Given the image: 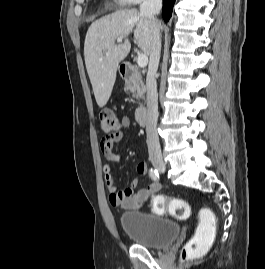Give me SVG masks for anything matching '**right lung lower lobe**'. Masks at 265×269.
<instances>
[{
	"instance_id": "98d812e1",
	"label": "right lung lower lobe",
	"mask_w": 265,
	"mask_h": 269,
	"mask_svg": "<svg viewBox=\"0 0 265 269\" xmlns=\"http://www.w3.org/2000/svg\"><path fill=\"white\" fill-rule=\"evenodd\" d=\"M175 3V0H163L162 16L167 22L172 15V8Z\"/></svg>"
}]
</instances>
